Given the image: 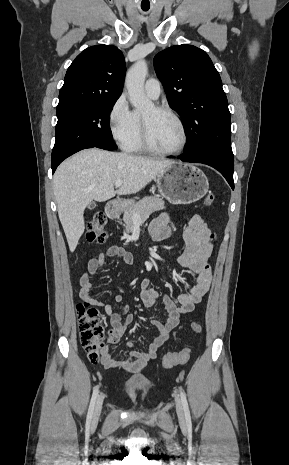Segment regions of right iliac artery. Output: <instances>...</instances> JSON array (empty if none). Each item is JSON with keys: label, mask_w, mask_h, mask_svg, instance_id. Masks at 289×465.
Listing matches in <instances>:
<instances>
[{"label": "right iliac artery", "mask_w": 289, "mask_h": 465, "mask_svg": "<svg viewBox=\"0 0 289 465\" xmlns=\"http://www.w3.org/2000/svg\"><path fill=\"white\" fill-rule=\"evenodd\" d=\"M99 393V386H96L93 390L92 398L90 401L89 409H88V414H87V425L90 424L94 412V407L96 403V399Z\"/></svg>", "instance_id": "right-iliac-artery-1"}]
</instances>
